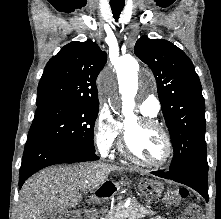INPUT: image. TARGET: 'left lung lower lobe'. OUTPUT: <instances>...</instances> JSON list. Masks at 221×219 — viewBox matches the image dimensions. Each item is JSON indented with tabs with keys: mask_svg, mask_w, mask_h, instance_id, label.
Returning <instances> with one entry per match:
<instances>
[{
	"mask_svg": "<svg viewBox=\"0 0 221 219\" xmlns=\"http://www.w3.org/2000/svg\"><path fill=\"white\" fill-rule=\"evenodd\" d=\"M153 175L185 184L199 192L208 202V163L207 158L196 159L177 170L154 171Z\"/></svg>",
	"mask_w": 221,
	"mask_h": 219,
	"instance_id": "left-lung-lower-lobe-1",
	"label": "left lung lower lobe"
}]
</instances>
